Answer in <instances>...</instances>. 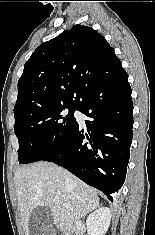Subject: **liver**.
I'll list each match as a JSON object with an SVG mask.
<instances>
[{"label": "liver", "instance_id": "liver-1", "mask_svg": "<svg viewBox=\"0 0 155 235\" xmlns=\"http://www.w3.org/2000/svg\"><path fill=\"white\" fill-rule=\"evenodd\" d=\"M14 184L25 235H30V216L38 206L48 207L53 223L61 227L72 226L99 206L93 188L53 163L38 162L18 168Z\"/></svg>", "mask_w": 155, "mask_h": 235}]
</instances>
